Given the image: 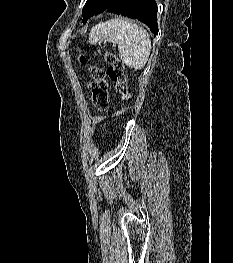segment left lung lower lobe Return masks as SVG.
Wrapping results in <instances>:
<instances>
[{
    "instance_id": "obj_1",
    "label": "left lung lower lobe",
    "mask_w": 233,
    "mask_h": 263,
    "mask_svg": "<svg viewBox=\"0 0 233 263\" xmlns=\"http://www.w3.org/2000/svg\"><path fill=\"white\" fill-rule=\"evenodd\" d=\"M106 11L138 19L145 23L152 33H158L155 0H116Z\"/></svg>"
}]
</instances>
